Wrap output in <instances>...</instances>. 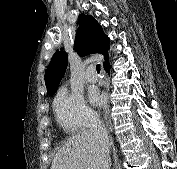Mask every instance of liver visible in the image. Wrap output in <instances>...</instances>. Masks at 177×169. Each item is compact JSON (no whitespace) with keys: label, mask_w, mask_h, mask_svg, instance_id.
<instances>
[{"label":"liver","mask_w":177,"mask_h":169,"mask_svg":"<svg viewBox=\"0 0 177 169\" xmlns=\"http://www.w3.org/2000/svg\"><path fill=\"white\" fill-rule=\"evenodd\" d=\"M103 151L98 139L83 131L71 137L56 153L51 169H101Z\"/></svg>","instance_id":"liver-1"}]
</instances>
